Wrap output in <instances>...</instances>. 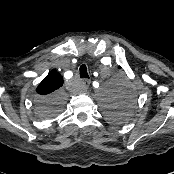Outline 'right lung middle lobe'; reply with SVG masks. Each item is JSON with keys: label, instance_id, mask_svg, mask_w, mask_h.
I'll list each match as a JSON object with an SVG mask.
<instances>
[{"label": "right lung middle lobe", "instance_id": "obj_1", "mask_svg": "<svg viewBox=\"0 0 174 174\" xmlns=\"http://www.w3.org/2000/svg\"><path fill=\"white\" fill-rule=\"evenodd\" d=\"M62 96L56 92L50 95H44L36 101V115L40 119H48L62 110Z\"/></svg>", "mask_w": 174, "mask_h": 174}]
</instances>
